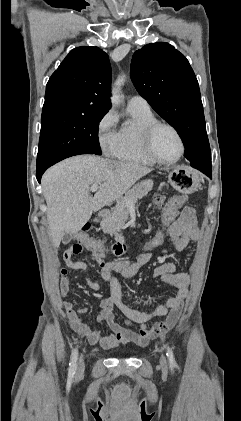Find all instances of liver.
I'll use <instances>...</instances> for the list:
<instances>
[{"label": "liver", "mask_w": 241, "mask_h": 421, "mask_svg": "<svg viewBox=\"0 0 241 421\" xmlns=\"http://www.w3.org/2000/svg\"><path fill=\"white\" fill-rule=\"evenodd\" d=\"M152 170L94 155L74 156L49 168L41 185L53 245L59 247L65 233L79 232L93 212L122 197ZM93 184L100 186L94 197L90 194Z\"/></svg>", "instance_id": "liver-1"}]
</instances>
